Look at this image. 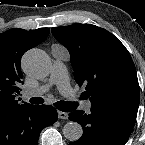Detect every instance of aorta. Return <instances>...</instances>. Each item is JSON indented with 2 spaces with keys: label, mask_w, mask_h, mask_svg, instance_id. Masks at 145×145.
I'll use <instances>...</instances> for the list:
<instances>
[{
  "label": "aorta",
  "mask_w": 145,
  "mask_h": 145,
  "mask_svg": "<svg viewBox=\"0 0 145 145\" xmlns=\"http://www.w3.org/2000/svg\"><path fill=\"white\" fill-rule=\"evenodd\" d=\"M22 67L28 75L42 79L49 75L51 61L44 51L33 48L24 54ZM62 131L64 137L72 142L79 140L83 134L82 126L77 122L66 123Z\"/></svg>",
  "instance_id": "1"
}]
</instances>
